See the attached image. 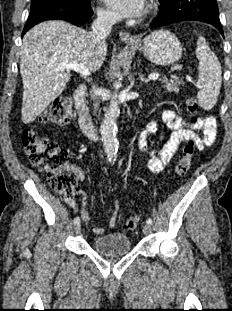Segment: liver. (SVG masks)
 <instances>
[{
	"label": "liver",
	"instance_id": "obj_1",
	"mask_svg": "<svg viewBox=\"0 0 232 311\" xmlns=\"http://www.w3.org/2000/svg\"><path fill=\"white\" fill-rule=\"evenodd\" d=\"M107 44L94 45L90 34L65 21L40 23L26 33L20 52L23 81L22 121H34L64 90L70 73L59 69L63 61L99 69Z\"/></svg>",
	"mask_w": 232,
	"mask_h": 311
}]
</instances>
